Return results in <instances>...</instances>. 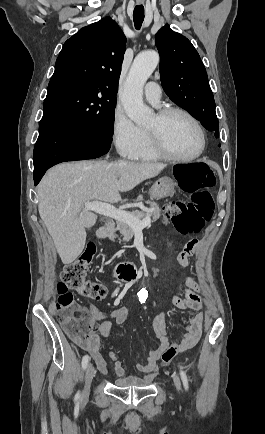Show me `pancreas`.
<instances>
[{"instance_id": "obj_1", "label": "pancreas", "mask_w": 265, "mask_h": 434, "mask_svg": "<svg viewBox=\"0 0 265 434\" xmlns=\"http://www.w3.org/2000/svg\"><path fill=\"white\" fill-rule=\"evenodd\" d=\"M147 212H139V210H135V212H132L133 216H136V218H139V220H145V218H152L153 222H156V220H159L161 216V210L156 204V202H150V208H146ZM117 226L112 230V232H109L107 234V238L109 240H114L116 238L114 232H120L121 236H123L121 242H130L131 238L134 236V230L129 226V224H124V222H116Z\"/></svg>"}]
</instances>
